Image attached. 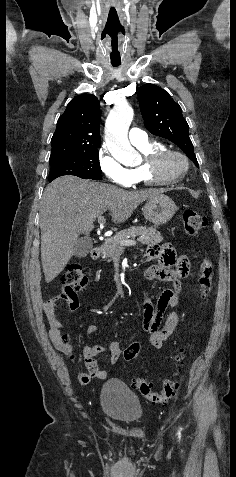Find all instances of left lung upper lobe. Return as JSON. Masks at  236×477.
<instances>
[{"instance_id":"1","label":"left lung upper lobe","mask_w":236,"mask_h":477,"mask_svg":"<svg viewBox=\"0 0 236 477\" xmlns=\"http://www.w3.org/2000/svg\"><path fill=\"white\" fill-rule=\"evenodd\" d=\"M138 99L144 125L149 132L178 145L199 167L188 135V123L181 107L169 93L154 84H145L139 90Z\"/></svg>"}]
</instances>
